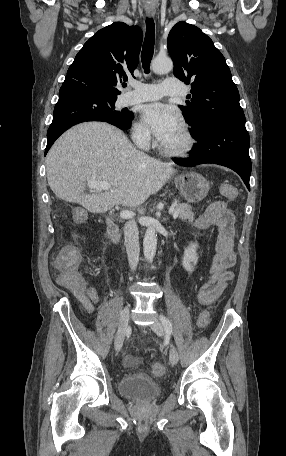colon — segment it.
Masks as SVG:
<instances>
[{"label":"colon","instance_id":"5ec220e1","mask_svg":"<svg viewBox=\"0 0 286 456\" xmlns=\"http://www.w3.org/2000/svg\"><path fill=\"white\" fill-rule=\"evenodd\" d=\"M223 196L234 198L237 195V189L233 185L224 184L220 187ZM78 220L83 219V215L77 216ZM81 261V254L77 247L74 245L64 246L57 254L54 265L58 270L57 281L58 283L72 291H80L86 287V279L79 272L78 266ZM210 321V314L208 311H203L198 319L197 326L201 329L206 328ZM124 363L128 367H134L137 362L133 357H126ZM152 373L156 377H160L165 373V367L162 363L156 362L152 366Z\"/></svg>","mask_w":286,"mask_h":456}]
</instances>
